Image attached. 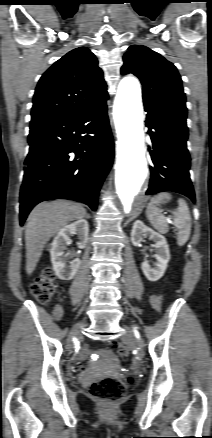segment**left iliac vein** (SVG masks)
<instances>
[{
    "label": "left iliac vein",
    "instance_id": "obj_1",
    "mask_svg": "<svg viewBox=\"0 0 212 438\" xmlns=\"http://www.w3.org/2000/svg\"><path fill=\"white\" fill-rule=\"evenodd\" d=\"M135 337H136V335H135V331L128 330V331L125 333V335L123 336V340L126 341V342H128V343L133 344V343H134V340H135ZM137 344H138L141 348L144 347V342H143L141 339L138 340Z\"/></svg>",
    "mask_w": 212,
    "mask_h": 438
}]
</instances>
